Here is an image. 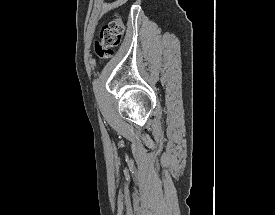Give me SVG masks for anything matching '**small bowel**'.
<instances>
[{
  "label": "small bowel",
  "instance_id": "1",
  "mask_svg": "<svg viewBox=\"0 0 275 215\" xmlns=\"http://www.w3.org/2000/svg\"><path fill=\"white\" fill-rule=\"evenodd\" d=\"M124 2H125V0H114L113 2H111L108 5V9H111L113 7H116V6H119V5L123 4Z\"/></svg>",
  "mask_w": 275,
  "mask_h": 215
}]
</instances>
